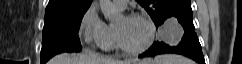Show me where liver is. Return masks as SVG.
I'll return each mask as SVG.
<instances>
[{
	"label": "liver",
	"instance_id": "obj_1",
	"mask_svg": "<svg viewBox=\"0 0 242 64\" xmlns=\"http://www.w3.org/2000/svg\"><path fill=\"white\" fill-rule=\"evenodd\" d=\"M151 62L152 60L150 59H126L124 61H120L111 58L100 57L95 54L70 55L64 53L53 57L48 64H147Z\"/></svg>",
	"mask_w": 242,
	"mask_h": 64
}]
</instances>
